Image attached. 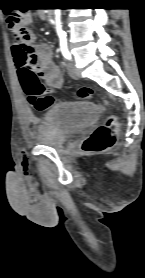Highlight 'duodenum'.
I'll use <instances>...</instances> for the list:
<instances>
[{"instance_id": "410a0bca", "label": "duodenum", "mask_w": 145, "mask_h": 278, "mask_svg": "<svg viewBox=\"0 0 145 278\" xmlns=\"http://www.w3.org/2000/svg\"><path fill=\"white\" fill-rule=\"evenodd\" d=\"M44 18H45V20H46V22L47 23H52L53 22V13L51 12H49L48 14H46L45 16H44Z\"/></svg>"}]
</instances>
